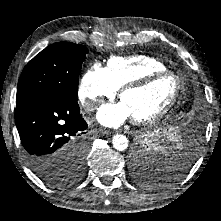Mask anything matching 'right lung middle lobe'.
Listing matches in <instances>:
<instances>
[{
  "instance_id": "dd1d6c3e",
  "label": "right lung middle lobe",
  "mask_w": 221,
  "mask_h": 221,
  "mask_svg": "<svg viewBox=\"0 0 221 221\" xmlns=\"http://www.w3.org/2000/svg\"><path fill=\"white\" fill-rule=\"evenodd\" d=\"M88 53L83 45L57 42L37 54L24 68L19 79L16 103L46 93L65 94L77 100L78 76ZM90 142L77 145L61 169L57 163L39 168L38 176L55 186H67L82 177Z\"/></svg>"
}]
</instances>
